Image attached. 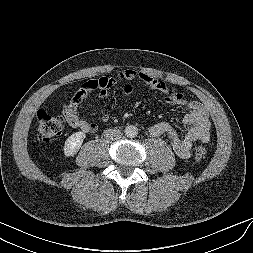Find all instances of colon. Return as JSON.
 I'll list each match as a JSON object with an SVG mask.
<instances>
[{"label":"colon","instance_id":"colon-1","mask_svg":"<svg viewBox=\"0 0 253 253\" xmlns=\"http://www.w3.org/2000/svg\"><path fill=\"white\" fill-rule=\"evenodd\" d=\"M38 121V139L41 142H48L63 134L66 129L65 120L56 115L50 114L48 111L41 109L37 113ZM207 151L203 147H197L194 157L197 161L205 158Z\"/></svg>","mask_w":253,"mask_h":253}]
</instances>
